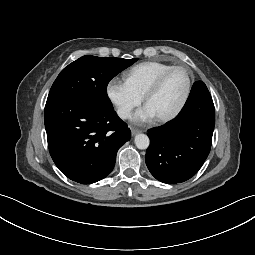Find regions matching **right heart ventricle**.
<instances>
[{
	"instance_id": "e07e8e85",
	"label": "right heart ventricle",
	"mask_w": 255,
	"mask_h": 255,
	"mask_svg": "<svg viewBox=\"0 0 255 255\" xmlns=\"http://www.w3.org/2000/svg\"><path fill=\"white\" fill-rule=\"evenodd\" d=\"M172 66L171 64L157 61L143 62L128 71L126 81L135 91L144 96L155 80Z\"/></svg>"
}]
</instances>
